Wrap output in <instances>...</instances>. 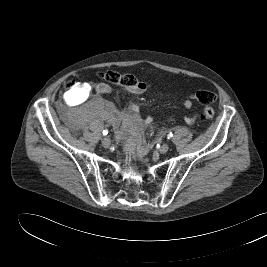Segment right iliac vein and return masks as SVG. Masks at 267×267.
<instances>
[{
    "mask_svg": "<svg viewBox=\"0 0 267 267\" xmlns=\"http://www.w3.org/2000/svg\"><path fill=\"white\" fill-rule=\"evenodd\" d=\"M110 138L109 137H105L103 140H102V145L105 147V148H108L110 146Z\"/></svg>",
    "mask_w": 267,
    "mask_h": 267,
    "instance_id": "1",
    "label": "right iliac vein"
}]
</instances>
